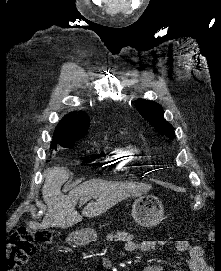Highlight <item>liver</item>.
Instances as JSON below:
<instances>
[{
    "label": "liver",
    "mask_w": 221,
    "mask_h": 271,
    "mask_svg": "<svg viewBox=\"0 0 221 271\" xmlns=\"http://www.w3.org/2000/svg\"><path fill=\"white\" fill-rule=\"evenodd\" d=\"M43 175L42 197L47 205V213L37 225L40 229L70 227L82 221L83 215L96 217L129 195H137L144 191L140 185H131V183H110L102 179H88L79 187L69 191L68 195H64L61 187L69 177L66 167H57V165L48 167ZM80 195H89L94 197L95 201H89L81 213H78L75 207Z\"/></svg>",
    "instance_id": "liver-1"
}]
</instances>
